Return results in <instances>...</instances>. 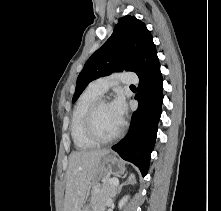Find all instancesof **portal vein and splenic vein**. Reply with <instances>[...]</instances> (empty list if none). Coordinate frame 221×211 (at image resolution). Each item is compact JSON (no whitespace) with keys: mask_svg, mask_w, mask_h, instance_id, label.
I'll return each mask as SVG.
<instances>
[{"mask_svg":"<svg viewBox=\"0 0 221 211\" xmlns=\"http://www.w3.org/2000/svg\"><path fill=\"white\" fill-rule=\"evenodd\" d=\"M109 183L114 186H117L119 183V180L117 178H112V179H110Z\"/></svg>","mask_w":221,"mask_h":211,"instance_id":"portal-vein-and-splenic-vein-1","label":"portal vein and splenic vein"}]
</instances>
